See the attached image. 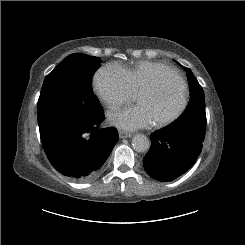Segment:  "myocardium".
Wrapping results in <instances>:
<instances>
[{
  "instance_id": "f54148a6",
  "label": "myocardium",
  "mask_w": 245,
  "mask_h": 245,
  "mask_svg": "<svg viewBox=\"0 0 245 245\" xmlns=\"http://www.w3.org/2000/svg\"><path fill=\"white\" fill-rule=\"evenodd\" d=\"M164 75H173L175 77V79L179 82L181 89H182V104L179 107V109L173 113L172 115L160 119L158 121L155 122L156 126L163 128V127H167L171 124H173L174 122H176L185 112V110L188 107L189 104V89L187 86V83L185 82V80L183 79V77L179 74L178 71H176L175 69L172 68H168L165 71H162L158 77L164 76ZM157 77V78H158ZM161 91V86L153 83L149 86H146L145 88H143L138 94L141 93H159Z\"/></svg>"
}]
</instances>
